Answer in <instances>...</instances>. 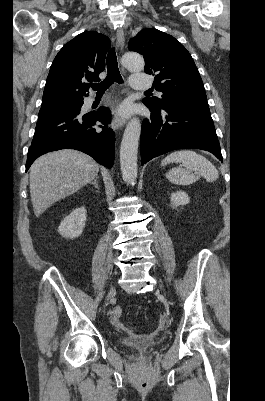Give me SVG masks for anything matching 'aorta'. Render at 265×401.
<instances>
[{
	"instance_id": "762f6f07",
	"label": "aorta",
	"mask_w": 265,
	"mask_h": 401,
	"mask_svg": "<svg viewBox=\"0 0 265 401\" xmlns=\"http://www.w3.org/2000/svg\"><path fill=\"white\" fill-rule=\"evenodd\" d=\"M122 64L134 72V70H143L145 62L141 54L126 52L122 56ZM140 132V120L131 118L125 128L120 146L121 172L125 182H134L135 178H137V152Z\"/></svg>"
}]
</instances>
